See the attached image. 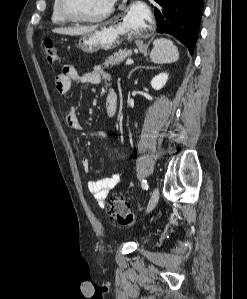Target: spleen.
Instances as JSON below:
<instances>
[{
	"label": "spleen",
	"instance_id": "spleen-1",
	"mask_svg": "<svg viewBox=\"0 0 247 299\" xmlns=\"http://www.w3.org/2000/svg\"><path fill=\"white\" fill-rule=\"evenodd\" d=\"M150 58L153 63L167 64L176 62L179 59V52L174 43L165 38L154 40Z\"/></svg>",
	"mask_w": 247,
	"mask_h": 299
}]
</instances>
